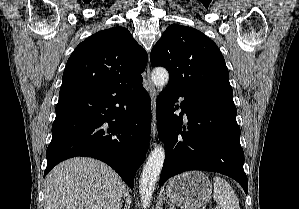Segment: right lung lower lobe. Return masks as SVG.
I'll use <instances>...</instances> for the list:
<instances>
[{
  "label": "right lung lower lobe",
  "instance_id": "1",
  "mask_svg": "<svg viewBox=\"0 0 299 209\" xmlns=\"http://www.w3.org/2000/svg\"><path fill=\"white\" fill-rule=\"evenodd\" d=\"M151 101L142 83L61 89L44 176L63 160L99 159L133 189L150 137Z\"/></svg>",
  "mask_w": 299,
  "mask_h": 209
}]
</instances>
